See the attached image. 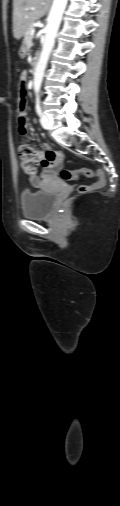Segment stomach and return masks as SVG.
I'll use <instances>...</instances> for the list:
<instances>
[{"label":"stomach","mask_w":120,"mask_h":506,"mask_svg":"<svg viewBox=\"0 0 120 506\" xmlns=\"http://www.w3.org/2000/svg\"><path fill=\"white\" fill-rule=\"evenodd\" d=\"M26 52H27V48L25 45H23L19 51V55L20 57H24L26 55Z\"/></svg>","instance_id":"stomach-1"}]
</instances>
